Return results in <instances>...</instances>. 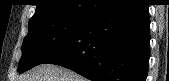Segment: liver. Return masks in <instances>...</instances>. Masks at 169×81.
Instances as JSON below:
<instances>
[{
	"label": "liver",
	"instance_id": "liver-1",
	"mask_svg": "<svg viewBox=\"0 0 169 81\" xmlns=\"http://www.w3.org/2000/svg\"><path fill=\"white\" fill-rule=\"evenodd\" d=\"M19 81H85V78L57 65L40 64L22 75Z\"/></svg>",
	"mask_w": 169,
	"mask_h": 81
}]
</instances>
